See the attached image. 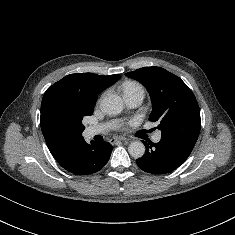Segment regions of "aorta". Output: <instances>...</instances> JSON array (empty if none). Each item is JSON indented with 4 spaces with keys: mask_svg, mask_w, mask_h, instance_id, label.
Returning <instances> with one entry per match:
<instances>
[{
    "mask_svg": "<svg viewBox=\"0 0 235 235\" xmlns=\"http://www.w3.org/2000/svg\"><path fill=\"white\" fill-rule=\"evenodd\" d=\"M123 108V100L116 94H108L101 101V109L109 115L119 114ZM128 152L135 159L141 158L145 154V146L140 141H134L129 144Z\"/></svg>",
    "mask_w": 235,
    "mask_h": 235,
    "instance_id": "aorta-1",
    "label": "aorta"
}]
</instances>
